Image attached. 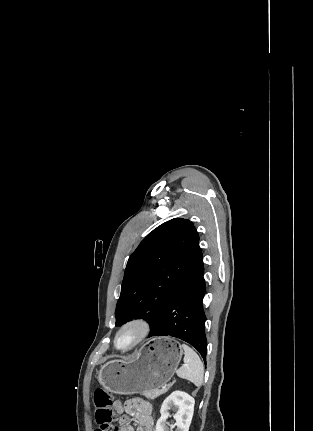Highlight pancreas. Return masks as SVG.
Returning a JSON list of instances; mask_svg holds the SVG:
<instances>
[{
	"label": "pancreas",
	"mask_w": 313,
	"mask_h": 431,
	"mask_svg": "<svg viewBox=\"0 0 313 431\" xmlns=\"http://www.w3.org/2000/svg\"><path fill=\"white\" fill-rule=\"evenodd\" d=\"M170 388V385L162 388V389H156V390H148V391H144L142 393V395H144L146 398L154 400L155 398H157L158 396L166 393Z\"/></svg>",
	"instance_id": "pancreas-1"
}]
</instances>
